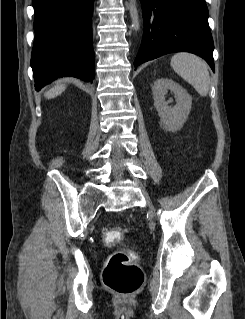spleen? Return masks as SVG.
<instances>
[{
  "label": "spleen",
  "instance_id": "spleen-1",
  "mask_svg": "<svg viewBox=\"0 0 245 319\" xmlns=\"http://www.w3.org/2000/svg\"><path fill=\"white\" fill-rule=\"evenodd\" d=\"M171 66L201 96L208 94L210 75L208 65L203 59L191 53H177L171 58Z\"/></svg>",
  "mask_w": 245,
  "mask_h": 319
}]
</instances>
